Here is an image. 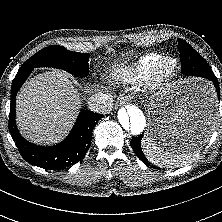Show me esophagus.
I'll return each instance as SVG.
<instances>
[{
  "instance_id": "34e87169",
  "label": "esophagus",
  "mask_w": 222,
  "mask_h": 222,
  "mask_svg": "<svg viewBox=\"0 0 222 222\" xmlns=\"http://www.w3.org/2000/svg\"><path fill=\"white\" fill-rule=\"evenodd\" d=\"M125 99L124 98H121V99H118L117 102H116V107H120L122 105L125 104Z\"/></svg>"
}]
</instances>
